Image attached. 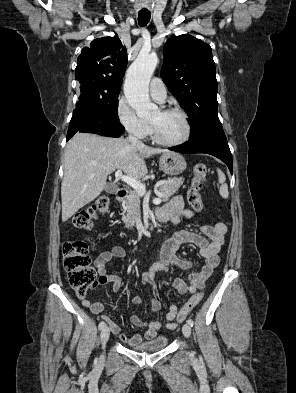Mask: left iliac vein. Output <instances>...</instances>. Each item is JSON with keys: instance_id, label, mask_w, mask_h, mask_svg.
Returning a JSON list of instances; mask_svg holds the SVG:
<instances>
[{"instance_id": "left-iliac-vein-1", "label": "left iliac vein", "mask_w": 296, "mask_h": 393, "mask_svg": "<svg viewBox=\"0 0 296 393\" xmlns=\"http://www.w3.org/2000/svg\"><path fill=\"white\" fill-rule=\"evenodd\" d=\"M182 332H183V334H184V336L186 338H189L190 334H191V327H190V325L187 324V323L184 324L183 327H182Z\"/></svg>"}]
</instances>
